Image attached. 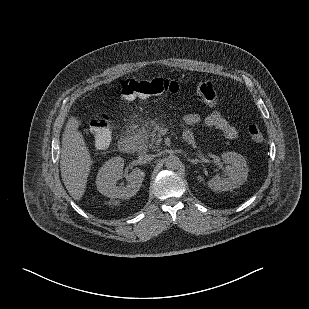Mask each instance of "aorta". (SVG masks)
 <instances>
[{"label": "aorta", "instance_id": "1", "mask_svg": "<svg viewBox=\"0 0 309 309\" xmlns=\"http://www.w3.org/2000/svg\"><path fill=\"white\" fill-rule=\"evenodd\" d=\"M164 164L168 170H177L181 165V161L176 155H169L165 158Z\"/></svg>", "mask_w": 309, "mask_h": 309}]
</instances>
